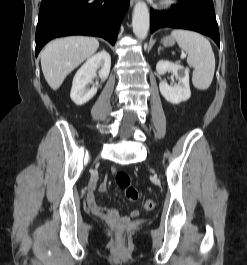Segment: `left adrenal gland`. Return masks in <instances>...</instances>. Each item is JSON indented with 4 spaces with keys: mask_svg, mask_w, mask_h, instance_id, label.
<instances>
[{
    "mask_svg": "<svg viewBox=\"0 0 247 265\" xmlns=\"http://www.w3.org/2000/svg\"><path fill=\"white\" fill-rule=\"evenodd\" d=\"M161 49H162V48H161V46H160V47L158 48V54H160Z\"/></svg>",
    "mask_w": 247,
    "mask_h": 265,
    "instance_id": "left-adrenal-gland-1",
    "label": "left adrenal gland"
}]
</instances>
